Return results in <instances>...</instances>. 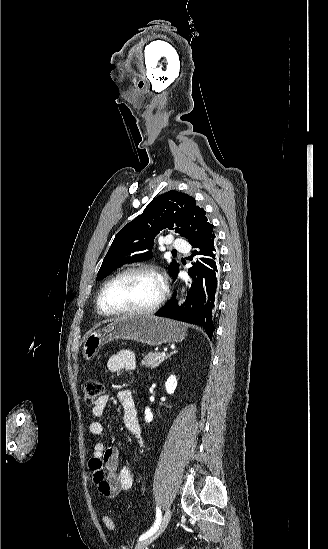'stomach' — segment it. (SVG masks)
<instances>
[{"label":"stomach","mask_w":328,"mask_h":549,"mask_svg":"<svg viewBox=\"0 0 328 549\" xmlns=\"http://www.w3.org/2000/svg\"><path fill=\"white\" fill-rule=\"evenodd\" d=\"M186 327L184 323L155 317V315H124L113 319L103 329L90 331L82 345V355L85 361H92L101 347L110 341H138L151 347L163 343H180L185 339Z\"/></svg>","instance_id":"1"}]
</instances>
